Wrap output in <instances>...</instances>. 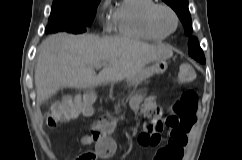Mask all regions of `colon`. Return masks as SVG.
<instances>
[{
	"instance_id": "obj_1",
	"label": "colon",
	"mask_w": 242,
	"mask_h": 160,
	"mask_svg": "<svg viewBox=\"0 0 242 160\" xmlns=\"http://www.w3.org/2000/svg\"><path fill=\"white\" fill-rule=\"evenodd\" d=\"M196 78V70L191 64L185 63L180 66L178 81L181 83H190ZM91 97L84 99H67L60 104L52 107L47 115L46 123L48 127H56L59 124L69 122L76 119L79 114L91 108ZM148 120L144 130L139 136V143L142 145H155L160 141V130L162 128L160 122L161 109L152 102H144L140 105ZM197 108V95L193 90H186L174 104V113L168 116L167 124L170 128H179L190 130L196 121L195 111ZM106 121L99 122L100 128L103 130ZM174 130L171 136L182 142L183 133L181 130ZM95 140L93 134L92 141ZM79 160H96V154L86 152L81 154Z\"/></svg>"
}]
</instances>
